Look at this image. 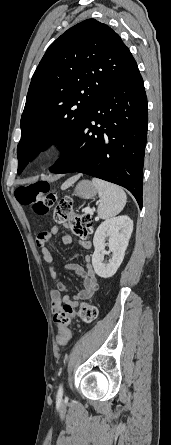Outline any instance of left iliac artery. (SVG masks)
<instances>
[{
    "mask_svg": "<svg viewBox=\"0 0 171 445\" xmlns=\"http://www.w3.org/2000/svg\"><path fill=\"white\" fill-rule=\"evenodd\" d=\"M63 391V384H60V386H59V392H62Z\"/></svg>",
    "mask_w": 171,
    "mask_h": 445,
    "instance_id": "left-iliac-artery-1",
    "label": "left iliac artery"
}]
</instances>
